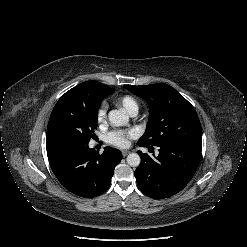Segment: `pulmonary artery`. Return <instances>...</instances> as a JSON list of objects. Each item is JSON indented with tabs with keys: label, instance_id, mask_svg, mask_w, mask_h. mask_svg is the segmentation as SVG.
<instances>
[{
	"label": "pulmonary artery",
	"instance_id": "e3ab8cb5",
	"mask_svg": "<svg viewBox=\"0 0 247 247\" xmlns=\"http://www.w3.org/2000/svg\"><path fill=\"white\" fill-rule=\"evenodd\" d=\"M138 112V109H132L129 113L132 115V116H135Z\"/></svg>",
	"mask_w": 247,
	"mask_h": 247
}]
</instances>
